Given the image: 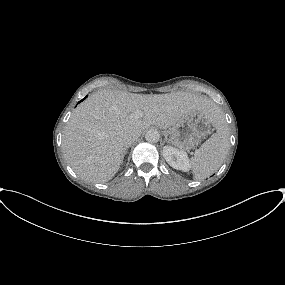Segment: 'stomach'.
<instances>
[{
    "label": "stomach",
    "mask_w": 285,
    "mask_h": 285,
    "mask_svg": "<svg viewBox=\"0 0 285 285\" xmlns=\"http://www.w3.org/2000/svg\"><path fill=\"white\" fill-rule=\"evenodd\" d=\"M212 125L208 114L193 111L177 125L169 128V142L180 149L191 150L211 131Z\"/></svg>",
    "instance_id": "stomach-1"
}]
</instances>
